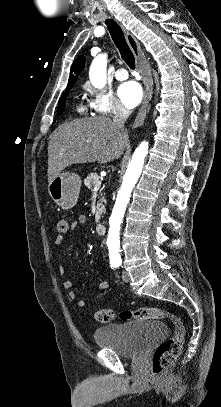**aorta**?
<instances>
[{"mask_svg":"<svg viewBox=\"0 0 221 407\" xmlns=\"http://www.w3.org/2000/svg\"><path fill=\"white\" fill-rule=\"evenodd\" d=\"M106 55H98L92 62L89 70V78L92 85L96 88H103L106 84ZM148 154V142H142L133 153L132 159L128 165L123 177L122 185L118 191L112 214L109 218V231L107 237V247L111 262L121 260L120 250V226L123 220L126 207L134 186L136 185L144 165V160Z\"/></svg>","mask_w":221,"mask_h":407,"instance_id":"aorta-1","label":"aorta"}]
</instances>
